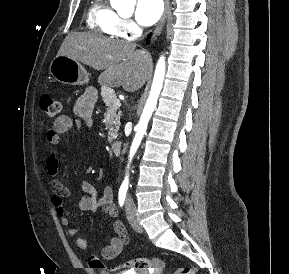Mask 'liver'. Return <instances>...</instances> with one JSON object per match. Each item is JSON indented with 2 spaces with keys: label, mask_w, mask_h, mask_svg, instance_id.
Here are the masks:
<instances>
[{
  "label": "liver",
  "mask_w": 289,
  "mask_h": 274,
  "mask_svg": "<svg viewBox=\"0 0 289 274\" xmlns=\"http://www.w3.org/2000/svg\"><path fill=\"white\" fill-rule=\"evenodd\" d=\"M57 55L104 70L99 77L100 84L122 86L129 92L142 86L149 61L147 54L137 50L134 43L87 32L68 34Z\"/></svg>",
  "instance_id": "obj_1"
}]
</instances>
